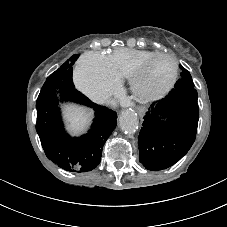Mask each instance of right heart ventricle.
<instances>
[{
	"mask_svg": "<svg viewBox=\"0 0 227 227\" xmlns=\"http://www.w3.org/2000/svg\"><path fill=\"white\" fill-rule=\"evenodd\" d=\"M156 53L152 50L117 48L107 56V59L111 69L119 78H129L142 61Z\"/></svg>",
	"mask_w": 227,
	"mask_h": 227,
	"instance_id": "obj_1",
	"label": "right heart ventricle"
}]
</instances>
